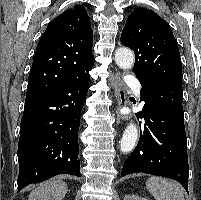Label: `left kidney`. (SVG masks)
<instances>
[{
  "instance_id": "1",
  "label": "left kidney",
  "mask_w": 201,
  "mask_h": 200,
  "mask_svg": "<svg viewBox=\"0 0 201 200\" xmlns=\"http://www.w3.org/2000/svg\"><path fill=\"white\" fill-rule=\"evenodd\" d=\"M123 200H148V199L139 197L137 195H126Z\"/></svg>"
}]
</instances>
